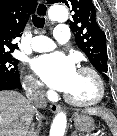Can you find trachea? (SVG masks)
<instances>
[{
    "instance_id": "3493384b",
    "label": "trachea",
    "mask_w": 117,
    "mask_h": 136,
    "mask_svg": "<svg viewBox=\"0 0 117 136\" xmlns=\"http://www.w3.org/2000/svg\"><path fill=\"white\" fill-rule=\"evenodd\" d=\"M32 22H33L34 26L37 28H43L45 25L44 17H40V16H36V15L32 16Z\"/></svg>"
}]
</instances>
